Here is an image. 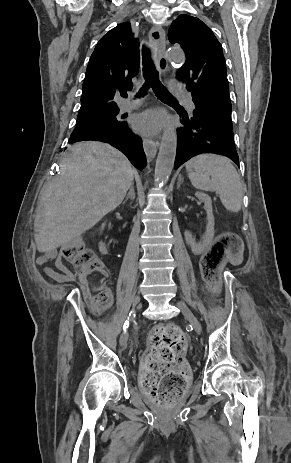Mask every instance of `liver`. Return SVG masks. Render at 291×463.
Masks as SVG:
<instances>
[{
  "mask_svg": "<svg viewBox=\"0 0 291 463\" xmlns=\"http://www.w3.org/2000/svg\"><path fill=\"white\" fill-rule=\"evenodd\" d=\"M134 179L129 160L114 147L85 141L72 145L59 176L48 185L35 217L37 249L55 255L117 208Z\"/></svg>",
  "mask_w": 291,
  "mask_h": 463,
  "instance_id": "obj_1",
  "label": "liver"
}]
</instances>
